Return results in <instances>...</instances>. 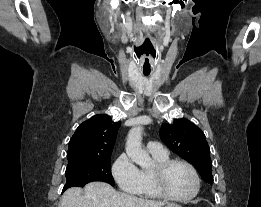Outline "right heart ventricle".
Here are the masks:
<instances>
[{"label": "right heart ventricle", "instance_id": "1", "mask_svg": "<svg viewBox=\"0 0 261 207\" xmlns=\"http://www.w3.org/2000/svg\"><path fill=\"white\" fill-rule=\"evenodd\" d=\"M153 160L155 162V165L164 162L166 160L169 159V155L165 154V155H156V154H152ZM141 175H142V188L140 191V195L145 197V198H149V199H156L161 197L155 186L153 183V179H152V170H148V169H144L141 170Z\"/></svg>", "mask_w": 261, "mask_h": 207}]
</instances>
